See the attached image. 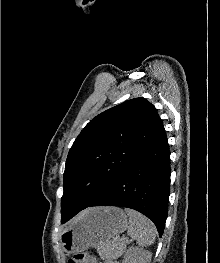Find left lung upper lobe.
I'll list each match as a JSON object with an SVG mask.
<instances>
[{
  "instance_id": "obj_1",
  "label": "left lung upper lobe",
  "mask_w": 220,
  "mask_h": 263,
  "mask_svg": "<svg viewBox=\"0 0 220 263\" xmlns=\"http://www.w3.org/2000/svg\"><path fill=\"white\" fill-rule=\"evenodd\" d=\"M162 127L156 108L144 98L125 101L92 119L68 153L62 218L88 207Z\"/></svg>"
}]
</instances>
